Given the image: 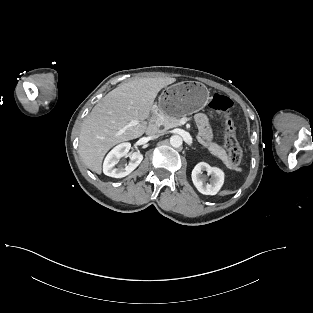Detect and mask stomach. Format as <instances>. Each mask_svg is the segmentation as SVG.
Instances as JSON below:
<instances>
[{
    "label": "stomach",
    "mask_w": 313,
    "mask_h": 313,
    "mask_svg": "<svg viewBox=\"0 0 313 313\" xmlns=\"http://www.w3.org/2000/svg\"><path fill=\"white\" fill-rule=\"evenodd\" d=\"M208 100L209 91L204 84L179 82L165 88L159 96L158 108L162 113L181 117L201 110Z\"/></svg>",
    "instance_id": "1"
}]
</instances>
